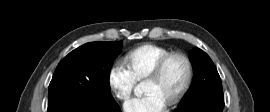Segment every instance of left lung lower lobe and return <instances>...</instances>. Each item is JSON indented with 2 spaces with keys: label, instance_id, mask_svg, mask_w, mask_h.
Here are the masks:
<instances>
[{
  "label": "left lung lower lobe",
  "instance_id": "left-lung-lower-lobe-1",
  "mask_svg": "<svg viewBox=\"0 0 270 112\" xmlns=\"http://www.w3.org/2000/svg\"><path fill=\"white\" fill-rule=\"evenodd\" d=\"M223 108L224 98L210 97L202 102L178 107L174 112H222Z\"/></svg>",
  "mask_w": 270,
  "mask_h": 112
}]
</instances>
